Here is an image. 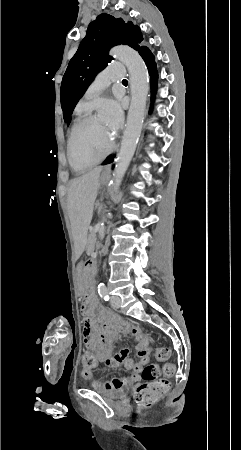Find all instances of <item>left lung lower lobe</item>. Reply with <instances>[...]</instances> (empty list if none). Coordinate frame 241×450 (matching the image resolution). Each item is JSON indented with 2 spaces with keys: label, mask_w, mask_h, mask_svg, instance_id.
Here are the masks:
<instances>
[{
  "label": "left lung lower lobe",
  "mask_w": 241,
  "mask_h": 450,
  "mask_svg": "<svg viewBox=\"0 0 241 450\" xmlns=\"http://www.w3.org/2000/svg\"><path fill=\"white\" fill-rule=\"evenodd\" d=\"M141 57L143 58L150 77H151V93H152V100L154 99V94L156 93V88H157V79H158V73H157V69H156V63H155V57L152 54V52L150 51V49H145L144 51H142V53H140ZM114 155L108 156L105 160V162L103 163V165L109 164L111 162H113L114 160Z\"/></svg>",
  "instance_id": "1"
}]
</instances>
